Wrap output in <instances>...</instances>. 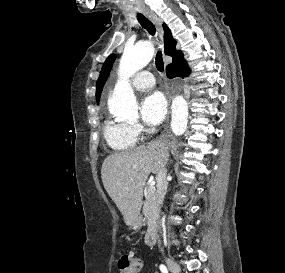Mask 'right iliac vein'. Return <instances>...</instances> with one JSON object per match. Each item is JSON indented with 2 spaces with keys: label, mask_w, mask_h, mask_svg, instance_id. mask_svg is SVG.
<instances>
[{
  "label": "right iliac vein",
  "mask_w": 285,
  "mask_h": 273,
  "mask_svg": "<svg viewBox=\"0 0 285 273\" xmlns=\"http://www.w3.org/2000/svg\"><path fill=\"white\" fill-rule=\"evenodd\" d=\"M165 260H166V264H167L169 270L172 273H180L181 272L180 266L175 261H173L170 258H166Z\"/></svg>",
  "instance_id": "obj_1"
}]
</instances>
